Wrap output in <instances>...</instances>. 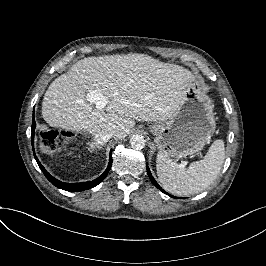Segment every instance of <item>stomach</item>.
I'll list each match as a JSON object with an SVG mask.
<instances>
[{
    "label": "stomach",
    "mask_w": 266,
    "mask_h": 266,
    "mask_svg": "<svg viewBox=\"0 0 266 266\" xmlns=\"http://www.w3.org/2000/svg\"><path fill=\"white\" fill-rule=\"evenodd\" d=\"M217 118L210 98L190 88L178 111L170 119L150 124L160 153L168 158L183 159L202 151L214 135Z\"/></svg>",
    "instance_id": "obj_1"
}]
</instances>
